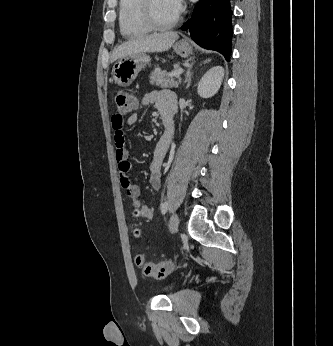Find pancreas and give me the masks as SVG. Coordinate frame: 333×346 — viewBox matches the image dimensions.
I'll list each match as a JSON object with an SVG mask.
<instances>
[{
  "label": "pancreas",
  "instance_id": "obj_1",
  "mask_svg": "<svg viewBox=\"0 0 333 346\" xmlns=\"http://www.w3.org/2000/svg\"><path fill=\"white\" fill-rule=\"evenodd\" d=\"M170 73L166 71H161L159 67L155 68V70L151 73L150 76V84L156 85L162 88H177L179 81H176L174 78H169Z\"/></svg>",
  "mask_w": 333,
  "mask_h": 346
}]
</instances>
